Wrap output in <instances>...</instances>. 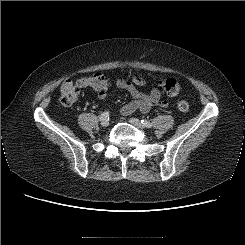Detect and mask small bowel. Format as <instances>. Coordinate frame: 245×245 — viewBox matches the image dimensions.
Listing matches in <instances>:
<instances>
[{
  "label": "small bowel",
  "instance_id": "small-bowel-1",
  "mask_svg": "<svg viewBox=\"0 0 245 245\" xmlns=\"http://www.w3.org/2000/svg\"><path fill=\"white\" fill-rule=\"evenodd\" d=\"M116 84L119 88L127 91L132 97V100L121 108V114L124 116L131 115L136 111L147 113L153 106L161 108L168 107V102L162 99L159 90L153 89L150 92H142L136 88V86H144L147 84V80L141 74H130V80L118 77ZM97 96L99 99L103 100L107 97V93L105 90L98 91Z\"/></svg>",
  "mask_w": 245,
  "mask_h": 245
}]
</instances>
